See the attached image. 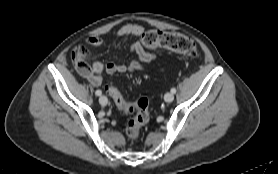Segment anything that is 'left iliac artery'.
<instances>
[{
	"instance_id": "obj_1",
	"label": "left iliac artery",
	"mask_w": 278,
	"mask_h": 174,
	"mask_svg": "<svg viewBox=\"0 0 278 174\" xmlns=\"http://www.w3.org/2000/svg\"><path fill=\"white\" fill-rule=\"evenodd\" d=\"M171 93L175 94V93H176V89H175V88H172V89H171Z\"/></svg>"
}]
</instances>
